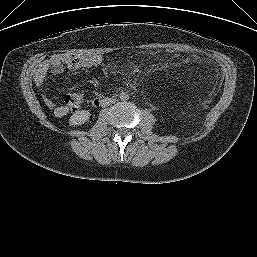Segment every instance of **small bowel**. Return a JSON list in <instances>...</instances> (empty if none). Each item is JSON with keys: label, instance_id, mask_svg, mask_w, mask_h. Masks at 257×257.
<instances>
[{"label": "small bowel", "instance_id": "obj_1", "mask_svg": "<svg viewBox=\"0 0 257 257\" xmlns=\"http://www.w3.org/2000/svg\"><path fill=\"white\" fill-rule=\"evenodd\" d=\"M103 57L98 54L88 53L79 55H54L48 60L39 64L34 72V81L38 86H42L46 75L50 72L52 75H59L66 65L70 70L81 68H91L101 65ZM45 104L52 109L56 117H63L68 109L65 106L56 105L48 96H44Z\"/></svg>", "mask_w": 257, "mask_h": 257}]
</instances>
